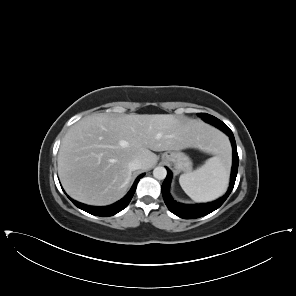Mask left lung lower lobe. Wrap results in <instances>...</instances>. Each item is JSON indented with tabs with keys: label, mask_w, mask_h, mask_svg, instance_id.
Instances as JSON below:
<instances>
[{
	"label": "left lung lower lobe",
	"mask_w": 296,
	"mask_h": 296,
	"mask_svg": "<svg viewBox=\"0 0 296 296\" xmlns=\"http://www.w3.org/2000/svg\"><path fill=\"white\" fill-rule=\"evenodd\" d=\"M219 129L224 131L231 140L232 147H233V165H232V171H231V180H230V186L229 189L222 198L211 202V203H206V204H198V205H186V204H181L177 203L174 201L169 193V188H170V181L172 177L171 171L167 168V177L164 180L162 184V195L165 201V204L167 205L168 209L174 213L175 215L184 218V219H192V218H199L202 216H205L217 208H219L224 201L227 199V197L230 195L237 176V171H238V164H239V158H238V153H237V148H236V142L233 136L232 131L228 127L224 126H219Z\"/></svg>",
	"instance_id": "0a47b994"
}]
</instances>
